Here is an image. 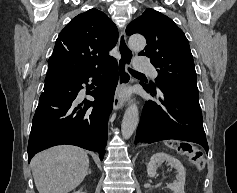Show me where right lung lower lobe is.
<instances>
[{
	"instance_id": "right-lung-lower-lobe-1",
	"label": "right lung lower lobe",
	"mask_w": 237,
	"mask_h": 193,
	"mask_svg": "<svg viewBox=\"0 0 237 193\" xmlns=\"http://www.w3.org/2000/svg\"><path fill=\"white\" fill-rule=\"evenodd\" d=\"M104 82L92 92L94 102L78 103V93L88 78ZM118 83L116 60L105 67L72 73L56 66H48L44 92L40 96L28 142V162L38 152L52 146L70 144L99 153L102 160L107 143V124L112 111L114 91ZM84 104V107H81Z\"/></svg>"
}]
</instances>
